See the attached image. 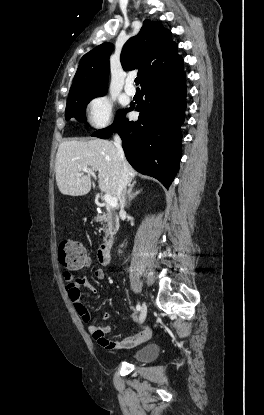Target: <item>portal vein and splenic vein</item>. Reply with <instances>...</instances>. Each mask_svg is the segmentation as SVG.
<instances>
[{"instance_id": "18ae733b", "label": "portal vein and splenic vein", "mask_w": 264, "mask_h": 415, "mask_svg": "<svg viewBox=\"0 0 264 415\" xmlns=\"http://www.w3.org/2000/svg\"><path fill=\"white\" fill-rule=\"evenodd\" d=\"M82 172H85V173H87L89 175H92L96 179V175H95V173H94L93 170H91V169H89L87 167H84V168H82ZM78 175H80V174H78ZM104 200L107 203V206L109 208H115L117 206V198L116 197H113V196H110L108 194H105L104 195Z\"/></svg>"}]
</instances>
